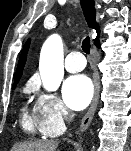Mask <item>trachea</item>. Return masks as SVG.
Returning <instances> with one entry per match:
<instances>
[{
    "label": "trachea",
    "instance_id": "1",
    "mask_svg": "<svg viewBox=\"0 0 131 151\" xmlns=\"http://www.w3.org/2000/svg\"><path fill=\"white\" fill-rule=\"evenodd\" d=\"M82 50L86 53H90V39L89 37H86L82 42Z\"/></svg>",
    "mask_w": 131,
    "mask_h": 151
}]
</instances>
